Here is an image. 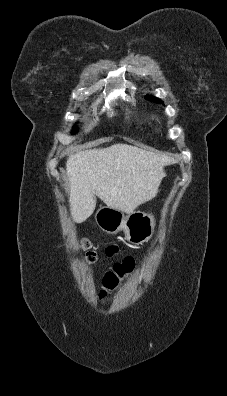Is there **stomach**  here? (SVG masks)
<instances>
[{
    "mask_svg": "<svg viewBox=\"0 0 227 396\" xmlns=\"http://www.w3.org/2000/svg\"><path fill=\"white\" fill-rule=\"evenodd\" d=\"M95 221L101 230L109 234L123 230L126 240L137 245L149 241L155 228L152 214L134 211L125 216L123 211L108 206L99 208Z\"/></svg>",
    "mask_w": 227,
    "mask_h": 396,
    "instance_id": "stomach-1",
    "label": "stomach"
}]
</instances>
